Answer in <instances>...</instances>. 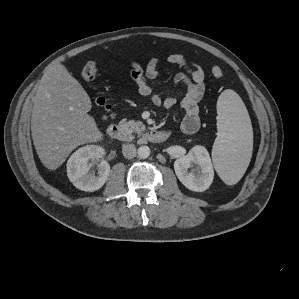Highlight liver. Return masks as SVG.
<instances>
[{"label":"liver","mask_w":299,"mask_h":299,"mask_svg":"<svg viewBox=\"0 0 299 299\" xmlns=\"http://www.w3.org/2000/svg\"><path fill=\"white\" fill-rule=\"evenodd\" d=\"M92 103L81 84L62 64L44 73L31 115V133L37 155L49 170L59 168L79 145L102 139Z\"/></svg>","instance_id":"1"}]
</instances>
